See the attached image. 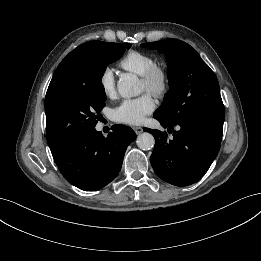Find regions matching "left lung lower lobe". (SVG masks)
I'll use <instances>...</instances> for the list:
<instances>
[{"instance_id": "0a47b994", "label": "left lung lower lobe", "mask_w": 261, "mask_h": 261, "mask_svg": "<svg viewBox=\"0 0 261 261\" xmlns=\"http://www.w3.org/2000/svg\"><path fill=\"white\" fill-rule=\"evenodd\" d=\"M156 118L168 133L145 128L155 138L150 157L155 173L164 181L186 186L197 182L207 172L218 154L224 117L198 118L190 121L168 123ZM180 127L174 131V126Z\"/></svg>"}]
</instances>
